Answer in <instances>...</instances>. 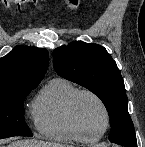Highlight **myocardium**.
I'll return each instance as SVG.
<instances>
[{
    "mask_svg": "<svg viewBox=\"0 0 145 147\" xmlns=\"http://www.w3.org/2000/svg\"><path fill=\"white\" fill-rule=\"evenodd\" d=\"M82 95H89L92 98H94L98 104L101 106L103 112H104V116H105V126L103 128V130L97 134H88L86 133L80 122L79 119L77 117L76 114V103L77 100L80 96ZM68 115L70 118L71 123L73 124L74 128L76 129L77 132H79L80 134H82L88 141H94V140H98L101 137H103L106 132L108 131L109 127H110V123H111V115H110V111L106 105V103L104 102V100L94 91L88 90V89H81V90H77L72 97L69 100L68 103Z\"/></svg>",
    "mask_w": 145,
    "mask_h": 147,
    "instance_id": "f54148a6",
    "label": "myocardium"
}]
</instances>
